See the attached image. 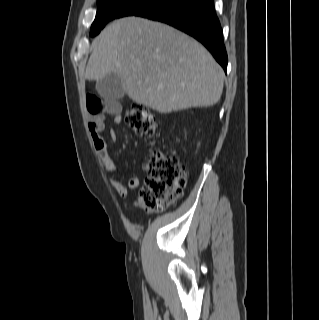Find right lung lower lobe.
I'll list each match as a JSON object with an SVG mask.
<instances>
[{"label": "right lung lower lobe", "mask_w": 319, "mask_h": 320, "mask_svg": "<svg viewBox=\"0 0 319 320\" xmlns=\"http://www.w3.org/2000/svg\"><path fill=\"white\" fill-rule=\"evenodd\" d=\"M138 16L167 23L193 36L227 70L228 58L213 0H169L139 13Z\"/></svg>", "instance_id": "right-lung-lower-lobe-1"}]
</instances>
